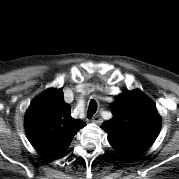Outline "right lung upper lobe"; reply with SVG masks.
<instances>
[{
	"mask_svg": "<svg viewBox=\"0 0 179 179\" xmlns=\"http://www.w3.org/2000/svg\"><path fill=\"white\" fill-rule=\"evenodd\" d=\"M61 89H48L36 97L25 115V130L38 151L54 156L63 152L86 124L74 120Z\"/></svg>",
	"mask_w": 179,
	"mask_h": 179,
	"instance_id": "1",
	"label": "right lung upper lobe"
}]
</instances>
